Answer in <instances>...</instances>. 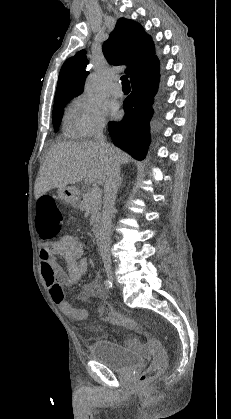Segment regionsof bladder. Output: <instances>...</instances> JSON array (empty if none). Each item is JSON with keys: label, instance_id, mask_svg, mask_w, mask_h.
<instances>
[{"label": "bladder", "instance_id": "obj_1", "mask_svg": "<svg viewBox=\"0 0 231 419\" xmlns=\"http://www.w3.org/2000/svg\"><path fill=\"white\" fill-rule=\"evenodd\" d=\"M92 360L106 365L117 373H127L129 370L141 366L145 358L142 354L129 351L121 344L111 340H97L90 348Z\"/></svg>", "mask_w": 231, "mask_h": 419}]
</instances>
